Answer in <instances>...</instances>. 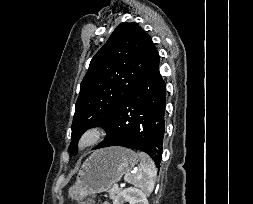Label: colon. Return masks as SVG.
Listing matches in <instances>:
<instances>
[{"mask_svg": "<svg viewBox=\"0 0 253 204\" xmlns=\"http://www.w3.org/2000/svg\"><path fill=\"white\" fill-rule=\"evenodd\" d=\"M76 204H94L92 199L78 200Z\"/></svg>", "mask_w": 253, "mask_h": 204, "instance_id": "colon-1", "label": "colon"}]
</instances>
